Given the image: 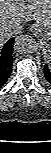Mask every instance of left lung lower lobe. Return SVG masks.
Masks as SVG:
<instances>
[{
    "instance_id": "left-lung-lower-lobe-1",
    "label": "left lung lower lobe",
    "mask_w": 51,
    "mask_h": 153,
    "mask_svg": "<svg viewBox=\"0 0 51 153\" xmlns=\"http://www.w3.org/2000/svg\"><path fill=\"white\" fill-rule=\"evenodd\" d=\"M44 76L51 83V71L48 69L47 65L44 66Z\"/></svg>"
}]
</instances>
